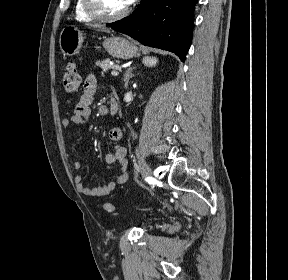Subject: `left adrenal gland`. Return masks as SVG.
<instances>
[{
	"label": "left adrenal gland",
	"instance_id": "a2214340",
	"mask_svg": "<svg viewBox=\"0 0 288 280\" xmlns=\"http://www.w3.org/2000/svg\"><path fill=\"white\" fill-rule=\"evenodd\" d=\"M135 67H129L125 74H124V82H125V88L127 89L128 87V83L131 77H133L134 75L132 74V71Z\"/></svg>",
	"mask_w": 288,
	"mask_h": 280
}]
</instances>
